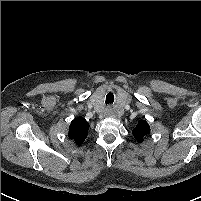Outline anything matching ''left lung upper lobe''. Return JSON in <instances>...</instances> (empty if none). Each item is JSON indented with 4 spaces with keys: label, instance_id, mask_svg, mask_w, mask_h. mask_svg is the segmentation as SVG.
Returning a JSON list of instances; mask_svg holds the SVG:
<instances>
[{
    "label": "left lung upper lobe",
    "instance_id": "obj_1",
    "mask_svg": "<svg viewBox=\"0 0 201 201\" xmlns=\"http://www.w3.org/2000/svg\"><path fill=\"white\" fill-rule=\"evenodd\" d=\"M133 136L138 143L143 141V138L150 133V128L146 121L140 120L132 131Z\"/></svg>",
    "mask_w": 201,
    "mask_h": 201
}]
</instances>
